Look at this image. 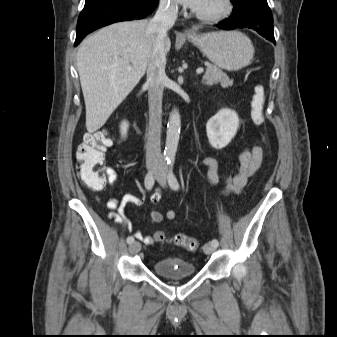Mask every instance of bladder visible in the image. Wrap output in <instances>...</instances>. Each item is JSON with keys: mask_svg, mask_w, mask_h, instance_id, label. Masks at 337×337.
Wrapping results in <instances>:
<instances>
[{"mask_svg": "<svg viewBox=\"0 0 337 337\" xmlns=\"http://www.w3.org/2000/svg\"><path fill=\"white\" fill-rule=\"evenodd\" d=\"M156 275L165 278L188 277L196 273V266L181 257H164L153 264Z\"/></svg>", "mask_w": 337, "mask_h": 337, "instance_id": "31cf9c89", "label": "bladder"}]
</instances>
